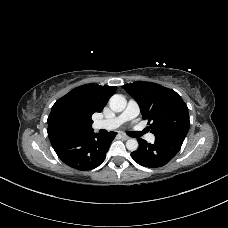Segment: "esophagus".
<instances>
[{"instance_id":"esophagus-1","label":"esophagus","mask_w":228,"mask_h":228,"mask_svg":"<svg viewBox=\"0 0 228 228\" xmlns=\"http://www.w3.org/2000/svg\"><path fill=\"white\" fill-rule=\"evenodd\" d=\"M121 138L123 139V140H128V139H130V137L129 136H127L126 134H121Z\"/></svg>"}]
</instances>
